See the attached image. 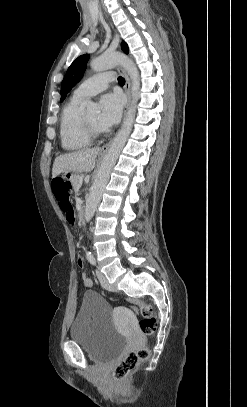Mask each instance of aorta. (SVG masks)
<instances>
[{"mask_svg":"<svg viewBox=\"0 0 247 407\" xmlns=\"http://www.w3.org/2000/svg\"><path fill=\"white\" fill-rule=\"evenodd\" d=\"M117 65L122 66L128 73L131 79V96L132 101L130 108L126 112V117L124 119L122 128L114 138L107 154L103 158L100 168L98 169L93 185L90 189V194L86 199L85 207V220L89 222L96 208L101 200L102 194L109 180L110 173L118 159V156L123 149L134 123L135 113H136V103L139 98V72L134 64V62L128 58L126 55L115 52V53H104L103 55L93 59L91 61V68L96 72H101ZM88 109H95L97 105L93 102H89L87 105Z\"/></svg>","mask_w":247,"mask_h":407,"instance_id":"aorta-1","label":"aorta"}]
</instances>
